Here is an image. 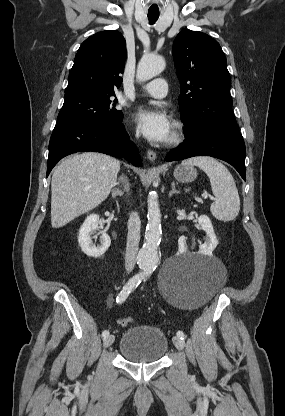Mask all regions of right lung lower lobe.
I'll return each mask as SVG.
<instances>
[{
  "label": "right lung lower lobe",
  "instance_id": "98d812e1",
  "mask_svg": "<svg viewBox=\"0 0 285 416\" xmlns=\"http://www.w3.org/2000/svg\"><path fill=\"white\" fill-rule=\"evenodd\" d=\"M82 151H95L114 157H124L141 166L137 147L129 141L123 124L90 123L56 125L50 138L47 176L63 157Z\"/></svg>",
  "mask_w": 285,
  "mask_h": 416
}]
</instances>
